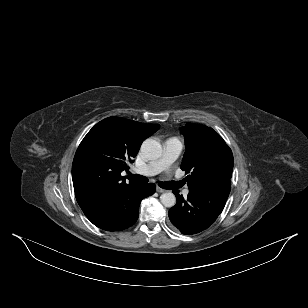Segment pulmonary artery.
<instances>
[{"mask_svg":"<svg viewBox=\"0 0 308 308\" xmlns=\"http://www.w3.org/2000/svg\"><path fill=\"white\" fill-rule=\"evenodd\" d=\"M183 148V143L178 138H170L164 143V151L160 159L152 161L145 166L137 168L139 174L145 176L156 175L166 169L178 158ZM188 189L183 191V195L187 196Z\"/></svg>","mask_w":308,"mask_h":308,"instance_id":"1","label":"pulmonary artery"}]
</instances>
